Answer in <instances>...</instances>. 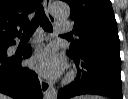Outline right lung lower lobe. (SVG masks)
<instances>
[{
	"label": "right lung lower lobe",
	"instance_id": "right-lung-lower-lobe-1",
	"mask_svg": "<svg viewBox=\"0 0 128 99\" xmlns=\"http://www.w3.org/2000/svg\"><path fill=\"white\" fill-rule=\"evenodd\" d=\"M1 43L3 48H0V92L15 99H42L36 73L21 66L22 59L31 56V47L27 46L18 55L9 56L7 48L15 44L14 38Z\"/></svg>",
	"mask_w": 128,
	"mask_h": 99
}]
</instances>
